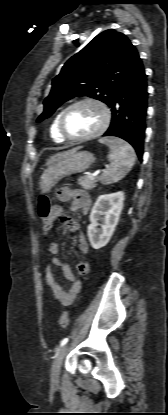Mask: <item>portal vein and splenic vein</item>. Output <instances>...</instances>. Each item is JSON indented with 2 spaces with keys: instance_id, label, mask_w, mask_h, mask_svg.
I'll use <instances>...</instances> for the list:
<instances>
[{
  "instance_id": "obj_1",
  "label": "portal vein and splenic vein",
  "mask_w": 168,
  "mask_h": 415,
  "mask_svg": "<svg viewBox=\"0 0 168 415\" xmlns=\"http://www.w3.org/2000/svg\"><path fill=\"white\" fill-rule=\"evenodd\" d=\"M88 176L91 177V178H94L96 176V174H89Z\"/></svg>"
}]
</instances>
